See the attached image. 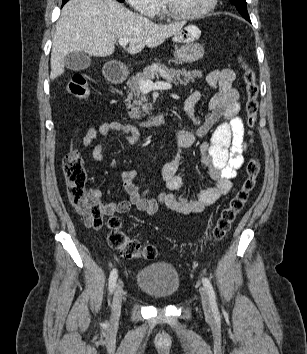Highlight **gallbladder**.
Returning <instances> with one entry per match:
<instances>
[{
    "label": "gallbladder",
    "mask_w": 307,
    "mask_h": 354,
    "mask_svg": "<svg viewBox=\"0 0 307 354\" xmlns=\"http://www.w3.org/2000/svg\"><path fill=\"white\" fill-rule=\"evenodd\" d=\"M91 63L90 56L82 52H72L64 58V65L74 71L85 70L91 66Z\"/></svg>",
    "instance_id": "1"
}]
</instances>
